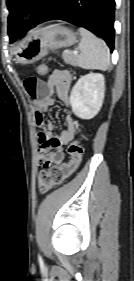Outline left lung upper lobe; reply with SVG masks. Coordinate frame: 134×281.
Here are the masks:
<instances>
[{"instance_id":"left-lung-upper-lobe-1","label":"left lung upper lobe","mask_w":134,"mask_h":281,"mask_svg":"<svg viewBox=\"0 0 134 281\" xmlns=\"http://www.w3.org/2000/svg\"><path fill=\"white\" fill-rule=\"evenodd\" d=\"M47 2L48 0H7V7L10 12L8 17V35L12 42L19 36H22L28 30V26L35 22V19ZM30 7H35L37 11L32 16V19L26 22L24 28L19 29L18 22L24 12Z\"/></svg>"}]
</instances>
